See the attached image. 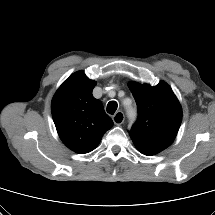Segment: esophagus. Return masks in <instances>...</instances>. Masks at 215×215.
<instances>
[{"instance_id":"34e87169","label":"esophagus","mask_w":215,"mask_h":215,"mask_svg":"<svg viewBox=\"0 0 215 215\" xmlns=\"http://www.w3.org/2000/svg\"><path fill=\"white\" fill-rule=\"evenodd\" d=\"M125 116L122 111H118L115 113V115L112 117V120L114 124L121 125L124 122Z\"/></svg>"}]
</instances>
